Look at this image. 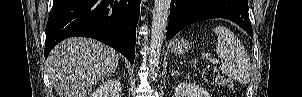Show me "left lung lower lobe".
I'll return each instance as SVG.
<instances>
[{
	"label": "left lung lower lobe",
	"mask_w": 302,
	"mask_h": 97,
	"mask_svg": "<svg viewBox=\"0 0 302 97\" xmlns=\"http://www.w3.org/2000/svg\"><path fill=\"white\" fill-rule=\"evenodd\" d=\"M210 18L229 19L253 37L248 0H171L166 38L189 24Z\"/></svg>",
	"instance_id": "left-lung-lower-lobe-1"
}]
</instances>
